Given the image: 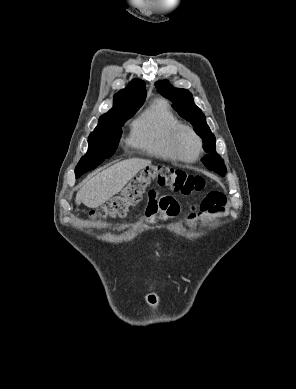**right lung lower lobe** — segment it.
<instances>
[{"mask_svg":"<svg viewBox=\"0 0 296 389\" xmlns=\"http://www.w3.org/2000/svg\"><path fill=\"white\" fill-rule=\"evenodd\" d=\"M96 167H97L96 164H92V165L88 164V165H85V166H82V167H76V169H75L76 178L80 177L85 172L90 171V170H92V169H94Z\"/></svg>","mask_w":296,"mask_h":389,"instance_id":"right-lung-lower-lobe-1","label":"right lung lower lobe"}]
</instances>
